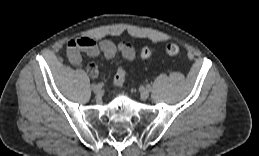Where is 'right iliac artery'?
Instances as JSON below:
<instances>
[{
	"instance_id": "82829eb1",
	"label": "right iliac artery",
	"mask_w": 259,
	"mask_h": 156,
	"mask_svg": "<svg viewBox=\"0 0 259 156\" xmlns=\"http://www.w3.org/2000/svg\"><path fill=\"white\" fill-rule=\"evenodd\" d=\"M95 86H96V84H93V85H92V89H93Z\"/></svg>"
}]
</instances>
